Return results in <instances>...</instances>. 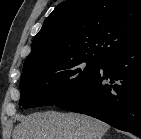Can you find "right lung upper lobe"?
I'll list each match as a JSON object with an SVG mask.
<instances>
[{
	"label": "right lung upper lobe",
	"mask_w": 141,
	"mask_h": 139,
	"mask_svg": "<svg viewBox=\"0 0 141 139\" xmlns=\"http://www.w3.org/2000/svg\"><path fill=\"white\" fill-rule=\"evenodd\" d=\"M141 42V0H67L44 21L23 70L77 57L105 58Z\"/></svg>",
	"instance_id": "1"
}]
</instances>
